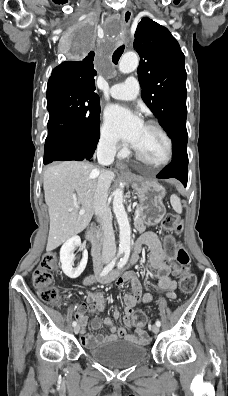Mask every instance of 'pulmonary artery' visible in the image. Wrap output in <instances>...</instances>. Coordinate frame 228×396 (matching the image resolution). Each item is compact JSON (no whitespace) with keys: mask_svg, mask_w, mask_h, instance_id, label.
Listing matches in <instances>:
<instances>
[{"mask_svg":"<svg viewBox=\"0 0 228 396\" xmlns=\"http://www.w3.org/2000/svg\"><path fill=\"white\" fill-rule=\"evenodd\" d=\"M140 91V85L136 77L130 76L125 82L114 84L110 88V95L118 100H133Z\"/></svg>","mask_w":228,"mask_h":396,"instance_id":"obj_1","label":"pulmonary artery"}]
</instances>
